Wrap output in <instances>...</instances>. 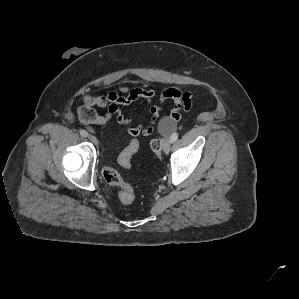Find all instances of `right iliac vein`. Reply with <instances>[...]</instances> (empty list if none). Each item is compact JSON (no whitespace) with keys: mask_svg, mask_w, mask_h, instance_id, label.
<instances>
[{"mask_svg":"<svg viewBox=\"0 0 299 299\" xmlns=\"http://www.w3.org/2000/svg\"><path fill=\"white\" fill-rule=\"evenodd\" d=\"M88 138H89V140H90L92 143L97 144L98 141H97V139H96L95 136H93V135H89Z\"/></svg>","mask_w":299,"mask_h":299,"instance_id":"right-iliac-vein-1","label":"right iliac vein"}]
</instances>
